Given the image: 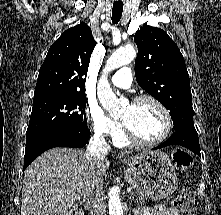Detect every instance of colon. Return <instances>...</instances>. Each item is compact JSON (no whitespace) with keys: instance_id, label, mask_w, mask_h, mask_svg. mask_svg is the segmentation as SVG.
<instances>
[{"instance_id":"1","label":"colon","mask_w":221,"mask_h":215,"mask_svg":"<svg viewBox=\"0 0 221 215\" xmlns=\"http://www.w3.org/2000/svg\"><path fill=\"white\" fill-rule=\"evenodd\" d=\"M192 161V156L184 149H177L173 153V162L180 170L189 168ZM174 207L178 209L182 215H193L196 208V201L191 195L183 192L175 199Z\"/></svg>"}]
</instances>
